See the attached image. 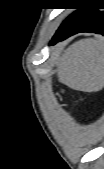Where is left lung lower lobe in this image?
Returning <instances> with one entry per match:
<instances>
[{
	"label": "left lung lower lobe",
	"mask_w": 104,
	"mask_h": 169,
	"mask_svg": "<svg viewBox=\"0 0 104 169\" xmlns=\"http://www.w3.org/2000/svg\"><path fill=\"white\" fill-rule=\"evenodd\" d=\"M77 9L61 24L50 44L64 40L80 32H94L104 35V14L89 3H81Z\"/></svg>",
	"instance_id": "0a47b994"
}]
</instances>
